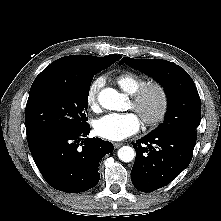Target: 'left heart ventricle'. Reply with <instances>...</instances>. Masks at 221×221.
Here are the masks:
<instances>
[{"label":"left heart ventricle","mask_w":221,"mask_h":221,"mask_svg":"<svg viewBox=\"0 0 221 221\" xmlns=\"http://www.w3.org/2000/svg\"><path fill=\"white\" fill-rule=\"evenodd\" d=\"M158 107L159 97L155 92H151L147 95L142 105V113L146 116H152L156 113Z\"/></svg>","instance_id":"1"}]
</instances>
